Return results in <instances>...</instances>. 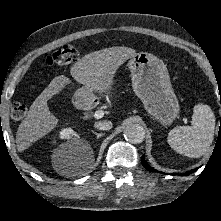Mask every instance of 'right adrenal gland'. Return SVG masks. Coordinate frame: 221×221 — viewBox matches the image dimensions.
I'll use <instances>...</instances> for the list:
<instances>
[{
  "label": "right adrenal gland",
  "mask_w": 221,
  "mask_h": 221,
  "mask_svg": "<svg viewBox=\"0 0 221 221\" xmlns=\"http://www.w3.org/2000/svg\"><path fill=\"white\" fill-rule=\"evenodd\" d=\"M92 133L97 136V139H99L100 137H102L104 135V133H97L94 130H92Z\"/></svg>",
  "instance_id": "1"
}]
</instances>
